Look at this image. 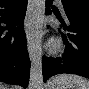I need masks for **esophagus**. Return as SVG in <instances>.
Returning a JSON list of instances; mask_svg holds the SVG:
<instances>
[{
    "mask_svg": "<svg viewBox=\"0 0 89 89\" xmlns=\"http://www.w3.org/2000/svg\"><path fill=\"white\" fill-rule=\"evenodd\" d=\"M33 2L31 0L28 1L27 12H26V21H27V28H26V36H27V46H28V53L31 60L34 59L35 55V39H34V30L31 23L32 15H33Z\"/></svg>",
    "mask_w": 89,
    "mask_h": 89,
    "instance_id": "obj_1",
    "label": "esophagus"
}]
</instances>
